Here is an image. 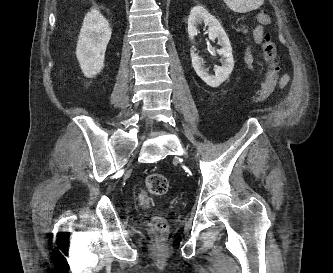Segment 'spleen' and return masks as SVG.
Returning <instances> with one entry per match:
<instances>
[{
    "label": "spleen",
    "mask_w": 333,
    "mask_h": 273,
    "mask_svg": "<svg viewBox=\"0 0 333 273\" xmlns=\"http://www.w3.org/2000/svg\"><path fill=\"white\" fill-rule=\"evenodd\" d=\"M224 2L232 11L246 13L258 9L264 0H224Z\"/></svg>",
    "instance_id": "spleen-1"
}]
</instances>
